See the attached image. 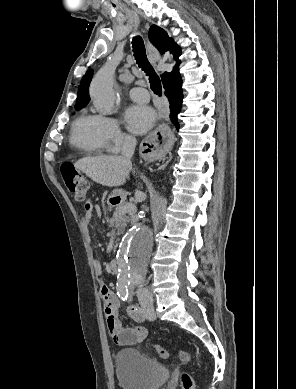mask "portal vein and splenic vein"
I'll use <instances>...</instances> for the list:
<instances>
[{
	"instance_id": "obj_1",
	"label": "portal vein and splenic vein",
	"mask_w": 296,
	"mask_h": 389,
	"mask_svg": "<svg viewBox=\"0 0 296 389\" xmlns=\"http://www.w3.org/2000/svg\"><path fill=\"white\" fill-rule=\"evenodd\" d=\"M135 210V205L133 203H128L122 208V213H129Z\"/></svg>"
}]
</instances>
